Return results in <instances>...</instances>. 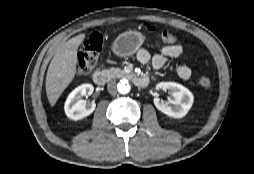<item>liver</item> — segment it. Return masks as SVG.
<instances>
[{"label": "liver", "instance_id": "6515ba94", "mask_svg": "<svg viewBox=\"0 0 254 174\" xmlns=\"http://www.w3.org/2000/svg\"><path fill=\"white\" fill-rule=\"evenodd\" d=\"M85 34H79L62 44L54 54L46 76V94L51 106H54L72 82L77 71V50Z\"/></svg>", "mask_w": 254, "mask_h": 174}]
</instances>
